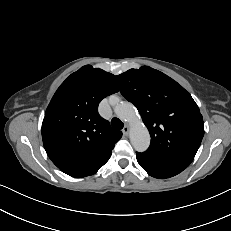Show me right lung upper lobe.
Instances as JSON below:
<instances>
[{"instance_id":"right-lung-upper-lobe-1","label":"right lung upper lobe","mask_w":231,"mask_h":231,"mask_svg":"<svg viewBox=\"0 0 231 231\" xmlns=\"http://www.w3.org/2000/svg\"><path fill=\"white\" fill-rule=\"evenodd\" d=\"M118 91L113 74L90 65L72 73L57 89L45 112L42 139L61 171L77 177L111 154L122 132L98 114V105Z\"/></svg>"}]
</instances>
